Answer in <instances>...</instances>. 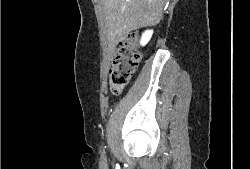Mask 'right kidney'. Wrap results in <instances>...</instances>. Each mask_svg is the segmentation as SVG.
Segmentation results:
<instances>
[{"label":"right kidney","mask_w":250,"mask_h":169,"mask_svg":"<svg viewBox=\"0 0 250 169\" xmlns=\"http://www.w3.org/2000/svg\"><path fill=\"white\" fill-rule=\"evenodd\" d=\"M152 34H153V30H145V32H143V34L140 38V44H142V46H144V44H147V42H148V40H150Z\"/></svg>","instance_id":"right-kidney-1"}]
</instances>
